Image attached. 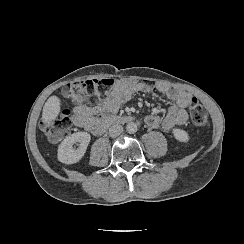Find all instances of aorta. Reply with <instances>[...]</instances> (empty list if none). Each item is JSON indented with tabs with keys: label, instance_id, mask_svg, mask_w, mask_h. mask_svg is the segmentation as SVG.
Wrapping results in <instances>:
<instances>
[{
	"label": "aorta",
	"instance_id": "1",
	"mask_svg": "<svg viewBox=\"0 0 244 244\" xmlns=\"http://www.w3.org/2000/svg\"><path fill=\"white\" fill-rule=\"evenodd\" d=\"M126 131L128 132V133H135V132H137V124L136 123H134V122H129V123H127V125H126Z\"/></svg>",
	"mask_w": 244,
	"mask_h": 244
}]
</instances>
